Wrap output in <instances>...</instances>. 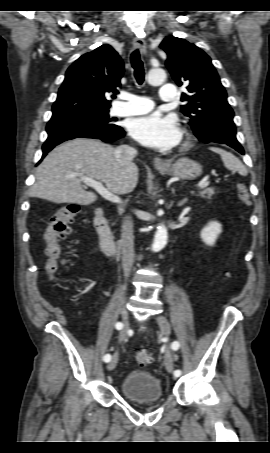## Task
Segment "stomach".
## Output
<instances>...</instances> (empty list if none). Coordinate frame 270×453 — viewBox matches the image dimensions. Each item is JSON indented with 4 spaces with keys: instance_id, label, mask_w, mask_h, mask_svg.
Instances as JSON below:
<instances>
[{
    "instance_id": "obj_1",
    "label": "stomach",
    "mask_w": 270,
    "mask_h": 453,
    "mask_svg": "<svg viewBox=\"0 0 270 453\" xmlns=\"http://www.w3.org/2000/svg\"><path fill=\"white\" fill-rule=\"evenodd\" d=\"M158 171L162 174L194 180L202 174V166L192 159L179 158L166 168H158Z\"/></svg>"
}]
</instances>
